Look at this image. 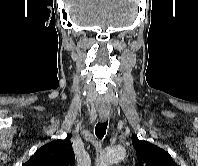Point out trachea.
Listing matches in <instances>:
<instances>
[{
  "mask_svg": "<svg viewBox=\"0 0 198 166\" xmlns=\"http://www.w3.org/2000/svg\"><path fill=\"white\" fill-rule=\"evenodd\" d=\"M108 126V121H104L102 123H98L95 127V134L99 139H102L106 133V129Z\"/></svg>",
  "mask_w": 198,
  "mask_h": 166,
  "instance_id": "trachea-1",
  "label": "trachea"
}]
</instances>
